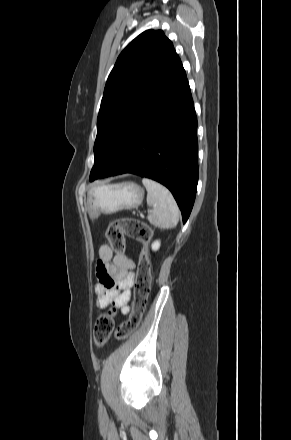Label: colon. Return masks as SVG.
I'll return each instance as SVG.
<instances>
[{"label":"colon","instance_id":"5ec220e1","mask_svg":"<svg viewBox=\"0 0 291 440\" xmlns=\"http://www.w3.org/2000/svg\"><path fill=\"white\" fill-rule=\"evenodd\" d=\"M124 234L141 242L144 247L136 270L132 311L129 319L116 329L115 335L118 339L129 337L141 323L152 282L148 259V245L151 240L150 228L143 222L130 217H122L112 221L107 228L106 236L113 252L117 255H122L125 251ZM112 285L113 282H110V286ZM115 310L116 308L110 305L109 310L97 318L93 330V340L97 346H103L108 341L113 331Z\"/></svg>","mask_w":291,"mask_h":440}]
</instances>
